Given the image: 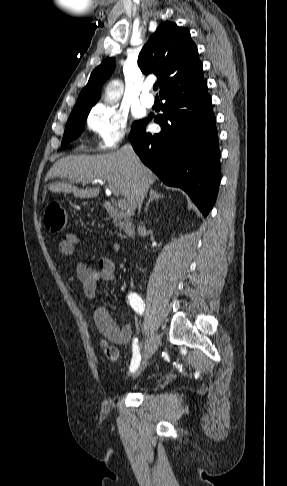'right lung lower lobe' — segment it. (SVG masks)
<instances>
[{
  "mask_svg": "<svg viewBox=\"0 0 287 486\" xmlns=\"http://www.w3.org/2000/svg\"><path fill=\"white\" fill-rule=\"evenodd\" d=\"M160 97L165 100L164 113L154 121L161 126V132H146L150 115L132 127V146L166 185L186 191L207 216L221 178L218 135L207 81L203 78Z\"/></svg>",
  "mask_w": 287,
  "mask_h": 486,
  "instance_id": "1",
  "label": "right lung lower lobe"
}]
</instances>
